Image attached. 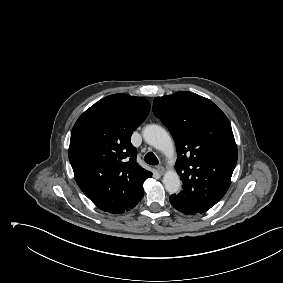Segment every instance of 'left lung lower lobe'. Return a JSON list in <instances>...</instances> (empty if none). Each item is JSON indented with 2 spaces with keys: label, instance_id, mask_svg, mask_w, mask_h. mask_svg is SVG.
Here are the masks:
<instances>
[{
  "label": "left lung lower lobe",
  "instance_id": "0a47b994",
  "mask_svg": "<svg viewBox=\"0 0 283 283\" xmlns=\"http://www.w3.org/2000/svg\"><path fill=\"white\" fill-rule=\"evenodd\" d=\"M170 203L171 205L178 211L184 214H197L206 212L199 208L194 203L187 200L185 197L173 194L170 196Z\"/></svg>",
  "mask_w": 283,
  "mask_h": 283
}]
</instances>
